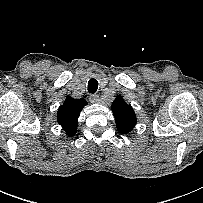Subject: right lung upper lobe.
<instances>
[{
  "label": "right lung upper lobe",
  "instance_id": "obj_1",
  "mask_svg": "<svg viewBox=\"0 0 203 203\" xmlns=\"http://www.w3.org/2000/svg\"><path fill=\"white\" fill-rule=\"evenodd\" d=\"M87 105L84 99H73L67 96L63 105H61L57 112V121L66 131L68 136H72L77 131L78 117L83 107Z\"/></svg>",
  "mask_w": 203,
  "mask_h": 203
}]
</instances>
